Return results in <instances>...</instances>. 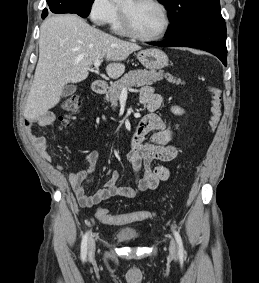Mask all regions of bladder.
Listing matches in <instances>:
<instances>
[{
	"mask_svg": "<svg viewBox=\"0 0 259 283\" xmlns=\"http://www.w3.org/2000/svg\"><path fill=\"white\" fill-rule=\"evenodd\" d=\"M117 236L120 240L128 242L139 239L140 233L137 228L126 226L118 231Z\"/></svg>",
	"mask_w": 259,
	"mask_h": 283,
	"instance_id": "1",
	"label": "bladder"
}]
</instances>
